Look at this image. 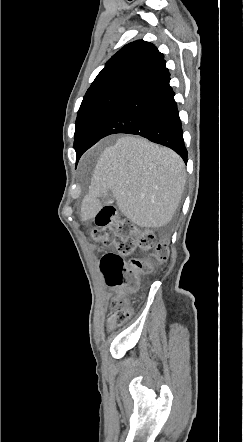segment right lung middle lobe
Returning a JSON list of instances; mask_svg holds the SVG:
<instances>
[{"mask_svg": "<svg viewBox=\"0 0 243 442\" xmlns=\"http://www.w3.org/2000/svg\"><path fill=\"white\" fill-rule=\"evenodd\" d=\"M127 94L124 92L109 93L82 101L75 123L74 149L77 162L86 151L87 144L99 124Z\"/></svg>", "mask_w": 243, "mask_h": 442, "instance_id": "right-lung-middle-lobe-1", "label": "right lung middle lobe"}]
</instances>
